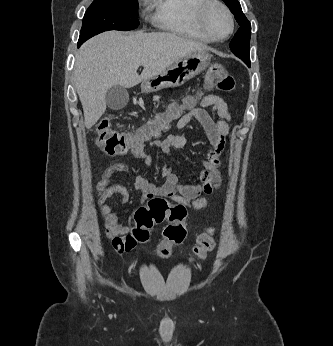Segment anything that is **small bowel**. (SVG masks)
Returning <instances> with one entry per match:
<instances>
[{"label": "small bowel", "instance_id": "small-bowel-1", "mask_svg": "<svg viewBox=\"0 0 333 346\" xmlns=\"http://www.w3.org/2000/svg\"><path fill=\"white\" fill-rule=\"evenodd\" d=\"M200 107H192L176 122L177 130L184 129L193 119L203 127L209 141V149L206 158L202 161V171L199 181L184 184L175 174L172 166L167 162L160 175L164 178L161 185H156L143 175L135 176V187L141 192V201L160 196L167 197L173 203L183 206L185 209L203 210L209 205L207 198L201 197V193L211 194L221 184L219 166L224 151L225 140L230 134L229 120L230 110L222 98L215 94H208L199 99ZM211 107L217 119H214L206 108ZM186 144L185 137L179 133H173L164 140H156L150 150L144 147L132 151L131 155L145 165L152 163V153L160 152L169 156L173 149H179ZM118 173H132L130 167L124 163L113 160L103 172L97 184L99 214L104 222V231L110 246L116 254H131L136 245V236L133 235L131 215L126 222H121L114 212V206L107 204V200L114 195L121 197V203L129 201V190L120 183L112 184L113 177Z\"/></svg>", "mask_w": 333, "mask_h": 346}]
</instances>
